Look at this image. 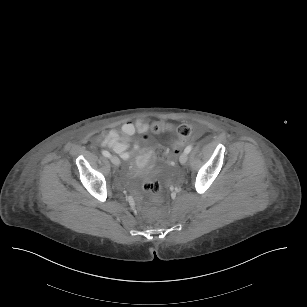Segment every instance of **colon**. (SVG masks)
<instances>
[{
    "label": "colon",
    "instance_id": "5ec220e1",
    "mask_svg": "<svg viewBox=\"0 0 307 307\" xmlns=\"http://www.w3.org/2000/svg\"><path fill=\"white\" fill-rule=\"evenodd\" d=\"M162 128L159 124H154L152 125L151 129H150V132L151 133H158V132H161ZM193 132V128L191 125L189 124H182L179 126L178 130H177V134H178V137H179V141L180 142H183L184 140H186L187 138L190 137V135L192 134ZM150 138V135L148 133H144L142 136H141V139L143 141H146ZM181 152V149L180 148H177V149H174L173 150V153L174 154H178ZM157 158L160 159V160H168L169 158V152L168 150H166L165 148L163 147H159L157 148ZM149 178L150 179H146L143 181V189L147 192H150L151 194H157L160 189H161V185L160 183L156 180L157 178V173L152 171L149 173Z\"/></svg>",
    "mask_w": 307,
    "mask_h": 307
}]
</instances>
